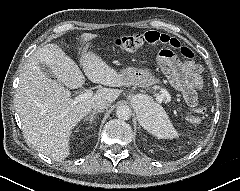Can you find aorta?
Instances as JSON below:
<instances>
[{
    "label": "aorta",
    "mask_w": 240,
    "mask_h": 191,
    "mask_svg": "<svg viewBox=\"0 0 240 191\" xmlns=\"http://www.w3.org/2000/svg\"><path fill=\"white\" fill-rule=\"evenodd\" d=\"M141 101L145 104L146 107L150 106V101L148 98L143 97ZM131 109L127 105L118 106L116 109V116L121 120H128L131 117Z\"/></svg>",
    "instance_id": "obj_1"
}]
</instances>
